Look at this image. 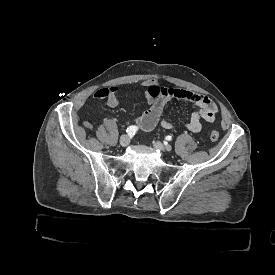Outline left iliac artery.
<instances>
[{
	"mask_svg": "<svg viewBox=\"0 0 275 275\" xmlns=\"http://www.w3.org/2000/svg\"><path fill=\"white\" fill-rule=\"evenodd\" d=\"M165 139L168 140V141H171V140H172V137H171V136H166Z\"/></svg>",
	"mask_w": 275,
	"mask_h": 275,
	"instance_id": "left-iliac-artery-1",
	"label": "left iliac artery"
}]
</instances>
